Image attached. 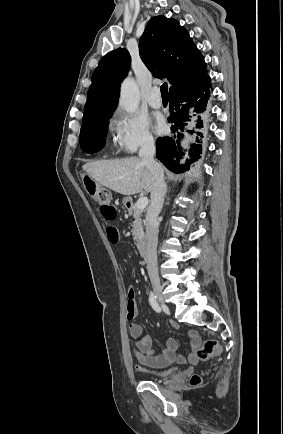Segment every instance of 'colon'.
<instances>
[{
  "label": "colon",
  "instance_id": "1",
  "mask_svg": "<svg viewBox=\"0 0 283 434\" xmlns=\"http://www.w3.org/2000/svg\"><path fill=\"white\" fill-rule=\"evenodd\" d=\"M85 188L91 198L99 205H108L111 203V193L105 187L97 184L89 177L84 178ZM220 353V347L216 340H206L197 349L196 354L199 360H209ZM201 383L199 375H193L190 384L197 386Z\"/></svg>",
  "mask_w": 283,
  "mask_h": 434
}]
</instances>
